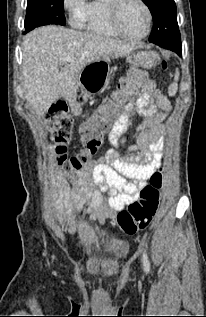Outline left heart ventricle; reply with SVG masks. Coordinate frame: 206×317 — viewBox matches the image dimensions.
Returning a JSON list of instances; mask_svg holds the SVG:
<instances>
[{"label":"left heart ventricle","mask_w":206,"mask_h":317,"mask_svg":"<svg viewBox=\"0 0 206 317\" xmlns=\"http://www.w3.org/2000/svg\"><path fill=\"white\" fill-rule=\"evenodd\" d=\"M120 26L129 35H141L147 26V16L136 0H128L120 12Z\"/></svg>","instance_id":"b2bd125f"}]
</instances>
